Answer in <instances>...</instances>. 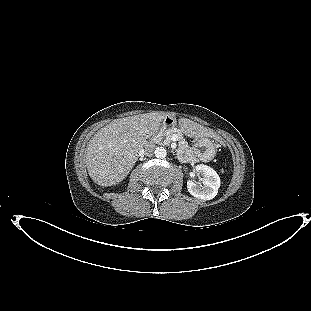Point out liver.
<instances>
[{
    "mask_svg": "<svg viewBox=\"0 0 311 311\" xmlns=\"http://www.w3.org/2000/svg\"><path fill=\"white\" fill-rule=\"evenodd\" d=\"M165 113H145L112 121L89 141L86 166L91 179L100 186H113L123 181L138 159V153L160 127ZM180 129L192 136L203 137L205 129L186 118L179 120Z\"/></svg>",
    "mask_w": 311,
    "mask_h": 311,
    "instance_id": "1",
    "label": "liver"
}]
</instances>
